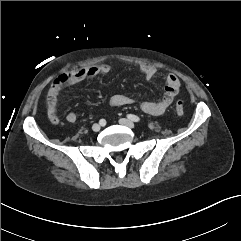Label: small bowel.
Wrapping results in <instances>:
<instances>
[{
	"mask_svg": "<svg viewBox=\"0 0 241 241\" xmlns=\"http://www.w3.org/2000/svg\"><path fill=\"white\" fill-rule=\"evenodd\" d=\"M110 71L111 66L109 64H99L77 69L72 72L75 75V80L72 83H69L67 86L73 85L86 79H91L108 74ZM140 72L145 77V79L151 80L155 77L157 70L153 66L146 65L140 68ZM66 87L56 88L54 85H52V87L48 91L47 114L50 122L54 125H58L60 122L58 117V105L61 99V92ZM179 89L180 80L178 79V77L174 74L166 75L165 88L162 97L157 101L141 102V110L146 114L152 116L161 115L170 106ZM134 103L135 100L126 95L117 94L112 96L110 99V104L114 107L132 105ZM66 120L69 123H74L77 120V115L74 112H68L66 114Z\"/></svg>",
	"mask_w": 241,
	"mask_h": 241,
	"instance_id": "small-bowel-1",
	"label": "small bowel"
}]
</instances>
